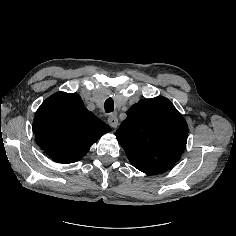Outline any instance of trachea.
I'll return each mask as SVG.
<instances>
[{
	"label": "trachea",
	"mask_w": 236,
	"mask_h": 236,
	"mask_svg": "<svg viewBox=\"0 0 236 236\" xmlns=\"http://www.w3.org/2000/svg\"><path fill=\"white\" fill-rule=\"evenodd\" d=\"M104 109L106 112L110 113L114 110V103L112 98H108L104 103Z\"/></svg>",
	"instance_id": "trachea-1"
}]
</instances>
